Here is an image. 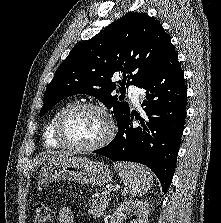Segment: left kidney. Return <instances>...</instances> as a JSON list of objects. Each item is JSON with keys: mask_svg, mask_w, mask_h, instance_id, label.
<instances>
[{"mask_svg": "<svg viewBox=\"0 0 221 223\" xmlns=\"http://www.w3.org/2000/svg\"><path fill=\"white\" fill-rule=\"evenodd\" d=\"M135 210L136 218L131 223H147L149 205L145 201L128 200L123 202L112 214L110 223H123L124 212Z\"/></svg>", "mask_w": 221, "mask_h": 223, "instance_id": "1", "label": "left kidney"}]
</instances>
